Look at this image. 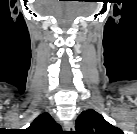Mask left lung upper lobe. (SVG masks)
Listing matches in <instances>:
<instances>
[{
	"mask_svg": "<svg viewBox=\"0 0 137 134\" xmlns=\"http://www.w3.org/2000/svg\"><path fill=\"white\" fill-rule=\"evenodd\" d=\"M76 134H123L122 130L107 122L101 114L89 109L76 120Z\"/></svg>",
	"mask_w": 137,
	"mask_h": 134,
	"instance_id": "obj_1",
	"label": "left lung upper lobe"
}]
</instances>
